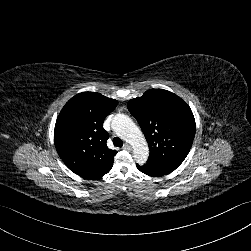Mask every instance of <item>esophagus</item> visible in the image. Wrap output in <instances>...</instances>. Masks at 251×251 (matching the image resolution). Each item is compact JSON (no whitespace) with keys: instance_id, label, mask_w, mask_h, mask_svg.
I'll list each match as a JSON object with an SVG mask.
<instances>
[{"instance_id":"1","label":"esophagus","mask_w":251,"mask_h":251,"mask_svg":"<svg viewBox=\"0 0 251 251\" xmlns=\"http://www.w3.org/2000/svg\"><path fill=\"white\" fill-rule=\"evenodd\" d=\"M124 149H126V150H132V146L128 142H126L124 144Z\"/></svg>"}]
</instances>
